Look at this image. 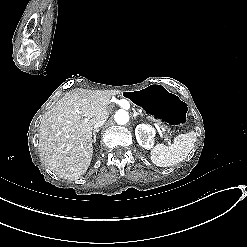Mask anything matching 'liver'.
<instances>
[{
	"instance_id": "liver-1",
	"label": "liver",
	"mask_w": 247,
	"mask_h": 247,
	"mask_svg": "<svg viewBox=\"0 0 247 247\" xmlns=\"http://www.w3.org/2000/svg\"><path fill=\"white\" fill-rule=\"evenodd\" d=\"M110 98L101 90L68 91L43 114L39 127V155L58 178L75 180L93 158V125L108 119Z\"/></svg>"
}]
</instances>
